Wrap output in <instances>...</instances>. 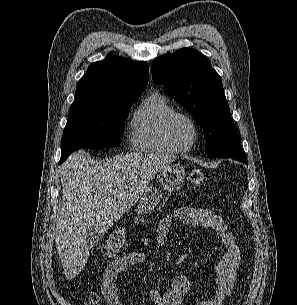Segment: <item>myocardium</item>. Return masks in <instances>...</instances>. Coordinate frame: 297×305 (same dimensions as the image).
I'll list each match as a JSON object with an SVG mask.
<instances>
[{
  "label": "myocardium",
  "mask_w": 297,
  "mask_h": 305,
  "mask_svg": "<svg viewBox=\"0 0 297 305\" xmlns=\"http://www.w3.org/2000/svg\"><path fill=\"white\" fill-rule=\"evenodd\" d=\"M177 118H184L186 119L190 125L192 126L193 129V138L190 142V144L188 146L185 147H181L179 146L173 139L172 134H171V127H172V123L174 122V120H176ZM163 134L164 137L166 139V141L168 142V144L171 146V148L178 153H186L191 151L198 138H199V127L197 122L195 121V119L193 117H191L189 114L184 113V112H179V111H175L173 113H171L164 121L163 123Z\"/></svg>",
  "instance_id": "f54148a6"
}]
</instances>
